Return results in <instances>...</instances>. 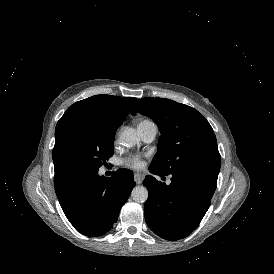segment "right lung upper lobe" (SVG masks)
I'll return each mask as SVG.
<instances>
[{
	"label": "right lung upper lobe",
	"mask_w": 274,
	"mask_h": 274,
	"mask_svg": "<svg viewBox=\"0 0 274 274\" xmlns=\"http://www.w3.org/2000/svg\"><path fill=\"white\" fill-rule=\"evenodd\" d=\"M135 100L136 98L96 95L74 103L66 110L56 125L53 150L57 147L61 133L69 125L88 117H119L124 120ZM53 162L55 168L54 182H57L67 175L62 171L56 160L53 159Z\"/></svg>",
	"instance_id": "cb5924a9"
}]
</instances>
